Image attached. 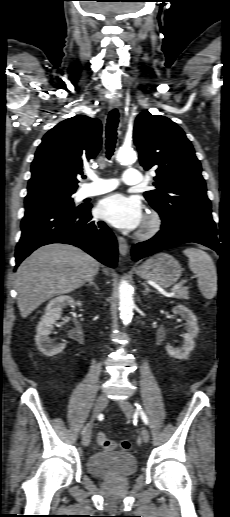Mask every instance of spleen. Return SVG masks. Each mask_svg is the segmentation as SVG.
<instances>
[{"instance_id": "1", "label": "spleen", "mask_w": 230, "mask_h": 517, "mask_svg": "<svg viewBox=\"0 0 230 517\" xmlns=\"http://www.w3.org/2000/svg\"><path fill=\"white\" fill-rule=\"evenodd\" d=\"M183 253L189 258L190 270L198 276V287L206 299L217 293V272L212 258L203 250L187 248Z\"/></svg>"}]
</instances>
